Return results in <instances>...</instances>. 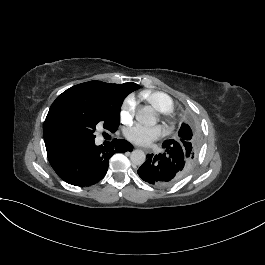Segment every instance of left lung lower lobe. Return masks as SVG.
Instances as JSON below:
<instances>
[{
  "label": "left lung lower lobe",
  "mask_w": 265,
  "mask_h": 265,
  "mask_svg": "<svg viewBox=\"0 0 265 265\" xmlns=\"http://www.w3.org/2000/svg\"><path fill=\"white\" fill-rule=\"evenodd\" d=\"M177 142H163L162 154H148L146 161L138 169V175L144 181L156 186H168L183 178L184 154Z\"/></svg>",
  "instance_id": "obj_1"
}]
</instances>
